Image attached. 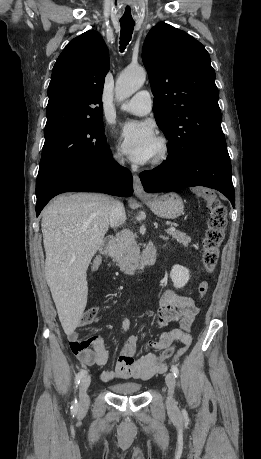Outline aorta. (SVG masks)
<instances>
[{"mask_svg":"<svg viewBox=\"0 0 261 459\" xmlns=\"http://www.w3.org/2000/svg\"><path fill=\"white\" fill-rule=\"evenodd\" d=\"M145 80V69L141 67L125 69L116 81V98L123 101L131 97L143 86Z\"/></svg>","mask_w":261,"mask_h":459,"instance_id":"aorta-1","label":"aorta"}]
</instances>
